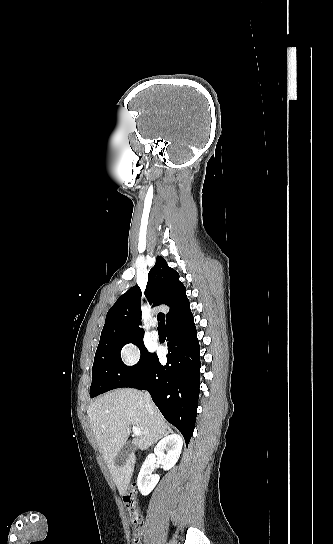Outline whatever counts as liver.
I'll list each match as a JSON object with an SVG mask.
<instances>
[{"label": "liver", "instance_id": "6515ba94", "mask_svg": "<svg viewBox=\"0 0 333 544\" xmlns=\"http://www.w3.org/2000/svg\"><path fill=\"white\" fill-rule=\"evenodd\" d=\"M89 423L100 452L102 453L120 494L128 489L136 458L132 454L122 466L115 458L130 433L131 425L141 430L132 443L146 450L165 436L167 425L160 411L153 406V414L147 411L144 394L139 390L122 388L104 394L90 404L87 410Z\"/></svg>", "mask_w": 333, "mask_h": 544}]
</instances>
